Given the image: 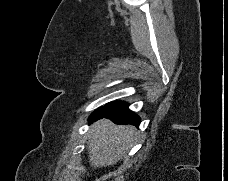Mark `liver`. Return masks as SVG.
<instances>
[{
    "instance_id": "1",
    "label": "liver",
    "mask_w": 228,
    "mask_h": 181,
    "mask_svg": "<svg viewBox=\"0 0 228 181\" xmlns=\"http://www.w3.org/2000/svg\"><path fill=\"white\" fill-rule=\"evenodd\" d=\"M89 135L88 163L93 169H101L125 159L129 147L136 141L137 129L132 125H114L109 119H100L91 125Z\"/></svg>"
}]
</instances>
